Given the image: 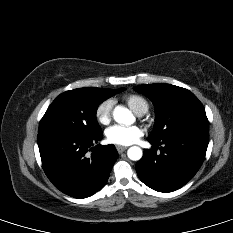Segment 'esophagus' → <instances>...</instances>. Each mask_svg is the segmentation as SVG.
<instances>
[{
  "instance_id": "1",
  "label": "esophagus",
  "mask_w": 233,
  "mask_h": 233,
  "mask_svg": "<svg viewBox=\"0 0 233 233\" xmlns=\"http://www.w3.org/2000/svg\"><path fill=\"white\" fill-rule=\"evenodd\" d=\"M116 149H117V151L119 153H122V152H124L127 149V147L126 146H120V145H118V146H116Z\"/></svg>"
}]
</instances>
